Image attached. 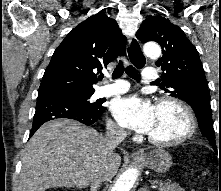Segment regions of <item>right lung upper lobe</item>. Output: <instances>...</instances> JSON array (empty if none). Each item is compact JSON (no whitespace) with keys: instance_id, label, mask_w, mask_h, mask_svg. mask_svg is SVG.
Returning a JSON list of instances; mask_svg holds the SVG:
<instances>
[{"instance_id":"right-lung-upper-lobe-1","label":"right lung upper lobe","mask_w":221,"mask_h":191,"mask_svg":"<svg viewBox=\"0 0 221 191\" xmlns=\"http://www.w3.org/2000/svg\"><path fill=\"white\" fill-rule=\"evenodd\" d=\"M126 54V37L116 21L98 13L76 26L56 48L38 92L94 91L95 71Z\"/></svg>"}]
</instances>
